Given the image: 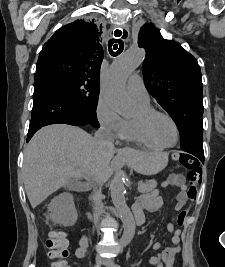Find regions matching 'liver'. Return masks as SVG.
<instances>
[{"mask_svg":"<svg viewBox=\"0 0 225 267\" xmlns=\"http://www.w3.org/2000/svg\"><path fill=\"white\" fill-rule=\"evenodd\" d=\"M115 153L118 156L114 158ZM120 153L114 146L101 148L81 128L66 124L43 127L24 152L23 180L32 208L70 180L94 179L99 170L109 178L113 166L119 164L147 174L143 167L147 154L134 150H128L123 156Z\"/></svg>","mask_w":225,"mask_h":267,"instance_id":"6515ba94","label":"liver"}]
</instances>
